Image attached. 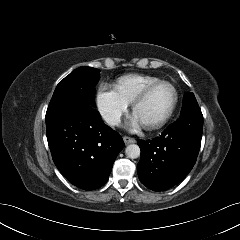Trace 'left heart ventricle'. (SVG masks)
<instances>
[{
  "label": "left heart ventricle",
  "instance_id": "1",
  "mask_svg": "<svg viewBox=\"0 0 240 240\" xmlns=\"http://www.w3.org/2000/svg\"><path fill=\"white\" fill-rule=\"evenodd\" d=\"M174 92L169 86H161L137 108L136 115L143 123L159 120L170 108Z\"/></svg>",
  "mask_w": 240,
  "mask_h": 240
}]
</instances>
